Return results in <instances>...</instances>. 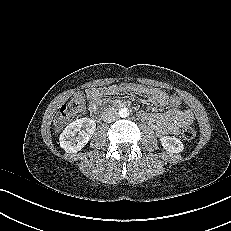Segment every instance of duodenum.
Instances as JSON below:
<instances>
[{
  "mask_svg": "<svg viewBox=\"0 0 231 231\" xmlns=\"http://www.w3.org/2000/svg\"><path fill=\"white\" fill-rule=\"evenodd\" d=\"M114 105H115L116 107H118V108H121V107L124 106V103H123V102H116ZM110 111H111V108H108V109H106V110L104 111V113H109Z\"/></svg>",
  "mask_w": 231,
  "mask_h": 231,
  "instance_id": "410a0bca",
  "label": "duodenum"
}]
</instances>
